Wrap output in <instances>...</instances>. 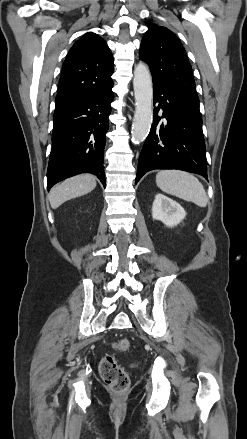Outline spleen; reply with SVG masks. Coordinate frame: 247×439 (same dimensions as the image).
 <instances>
[{
	"instance_id": "1",
	"label": "spleen",
	"mask_w": 247,
	"mask_h": 439,
	"mask_svg": "<svg viewBox=\"0 0 247 439\" xmlns=\"http://www.w3.org/2000/svg\"><path fill=\"white\" fill-rule=\"evenodd\" d=\"M157 186L165 193L207 206V195L201 182L192 174L180 170H162L156 175Z\"/></svg>"
}]
</instances>
